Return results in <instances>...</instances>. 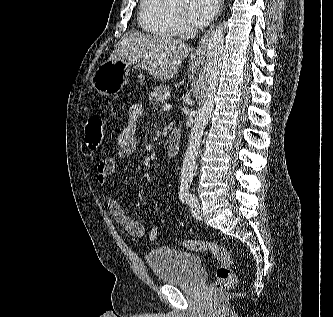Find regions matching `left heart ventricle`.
<instances>
[{"label": "left heart ventricle", "instance_id": "left-heart-ventricle-1", "mask_svg": "<svg viewBox=\"0 0 333 317\" xmlns=\"http://www.w3.org/2000/svg\"><path fill=\"white\" fill-rule=\"evenodd\" d=\"M171 9L178 15L182 16L184 14L185 5L182 3L173 4Z\"/></svg>", "mask_w": 333, "mask_h": 317}]
</instances>
